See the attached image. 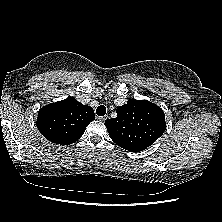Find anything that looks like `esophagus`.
Segmentation results:
<instances>
[{
  "instance_id": "obj_1",
  "label": "esophagus",
  "mask_w": 222,
  "mask_h": 222,
  "mask_svg": "<svg viewBox=\"0 0 222 222\" xmlns=\"http://www.w3.org/2000/svg\"><path fill=\"white\" fill-rule=\"evenodd\" d=\"M107 117L108 116H98V119L100 120V121H105L106 119H107Z\"/></svg>"
}]
</instances>
